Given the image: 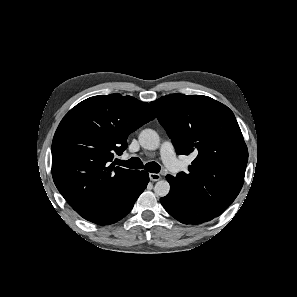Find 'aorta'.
Here are the masks:
<instances>
[{"instance_id":"obj_1","label":"aorta","mask_w":297,"mask_h":297,"mask_svg":"<svg viewBox=\"0 0 297 297\" xmlns=\"http://www.w3.org/2000/svg\"><path fill=\"white\" fill-rule=\"evenodd\" d=\"M142 148L155 150L159 147L160 139L158 134L152 129L142 130L138 137ZM170 191V184L167 180H159L154 186V192L157 196L164 197Z\"/></svg>"}]
</instances>
